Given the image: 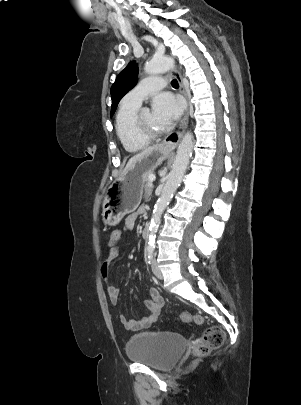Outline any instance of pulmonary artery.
I'll return each mask as SVG.
<instances>
[{
    "label": "pulmonary artery",
    "mask_w": 301,
    "mask_h": 405,
    "mask_svg": "<svg viewBox=\"0 0 301 405\" xmlns=\"http://www.w3.org/2000/svg\"><path fill=\"white\" fill-rule=\"evenodd\" d=\"M165 85V79L162 77H147L124 96L122 103L140 106L146 97L162 89Z\"/></svg>",
    "instance_id": "pulmonary-artery-1"
}]
</instances>
